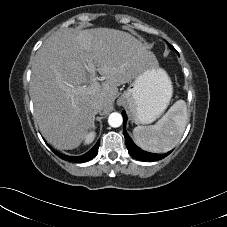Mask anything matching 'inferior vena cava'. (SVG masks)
Returning a JSON list of instances; mask_svg holds the SVG:
<instances>
[{
	"label": "inferior vena cava",
	"mask_w": 227,
	"mask_h": 227,
	"mask_svg": "<svg viewBox=\"0 0 227 227\" xmlns=\"http://www.w3.org/2000/svg\"><path fill=\"white\" fill-rule=\"evenodd\" d=\"M93 108L95 111H100L103 109L104 104L102 100H96L93 104H92Z\"/></svg>",
	"instance_id": "602c4592"
}]
</instances>
